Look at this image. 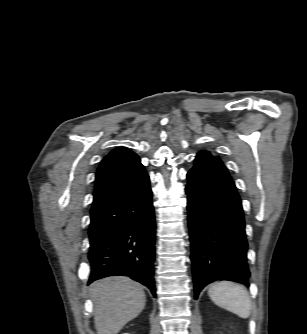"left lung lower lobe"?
<instances>
[{
	"label": "left lung lower lobe",
	"instance_id": "left-lung-lower-lobe-1",
	"mask_svg": "<svg viewBox=\"0 0 307 334\" xmlns=\"http://www.w3.org/2000/svg\"><path fill=\"white\" fill-rule=\"evenodd\" d=\"M187 178L195 298L204 286L216 280L249 286L243 209L226 167L195 159Z\"/></svg>",
	"mask_w": 307,
	"mask_h": 334
}]
</instances>
